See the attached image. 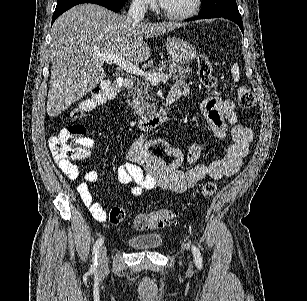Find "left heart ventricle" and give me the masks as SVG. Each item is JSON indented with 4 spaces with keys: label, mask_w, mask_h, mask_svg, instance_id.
I'll return each instance as SVG.
<instances>
[{
    "label": "left heart ventricle",
    "mask_w": 307,
    "mask_h": 301,
    "mask_svg": "<svg viewBox=\"0 0 307 301\" xmlns=\"http://www.w3.org/2000/svg\"><path fill=\"white\" fill-rule=\"evenodd\" d=\"M193 0H167V4L172 11H186Z\"/></svg>",
    "instance_id": "1"
}]
</instances>
